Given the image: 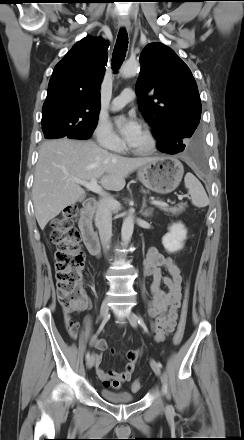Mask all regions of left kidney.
Segmentation results:
<instances>
[{"instance_id":"1","label":"left kidney","mask_w":244,"mask_h":440,"mask_svg":"<svg viewBox=\"0 0 244 440\" xmlns=\"http://www.w3.org/2000/svg\"><path fill=\"white\" fill-rule=\"evenodd\" d=\"M169 232L162 238V244L169 253L180 251L184 246L187 237V230L182 223L172 224L168 228Z\"/></svg>"}]
</instances>
